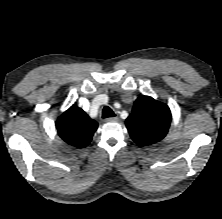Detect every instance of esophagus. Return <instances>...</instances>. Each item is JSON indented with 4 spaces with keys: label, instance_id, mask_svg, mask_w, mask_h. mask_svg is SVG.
Returning a JSON list of instances; mask_svg holds the SVG:
<instances>
[{
    "label": "esophagus",
    "instance_id": "esophagus-1",
    "mask_svg": "<svg viewBox=\"0 0 222 219\" xmlns=\"http://www.w3.org/2000/svg\"><path fill=\"white\" fill-rule=\"evenodd\" d=\"M119 119L118 117H110V118H107L105 121L110 123V122H117Z\"/></svg>",
    "mask_w": 222,
    "mask_h": 219
}]
</instances>
